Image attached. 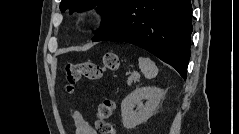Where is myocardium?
Returning a JSON list of instances; mask_svg holds the SVG:
<instances>
[{
    "label": "myocardium",
    "instance_id": "myocardium-1",
    "mask_svg": "<svg viewBox=\"0 0 239 134\" xmlns=\"http://www.w3.org/2000/svg\"><path fill=\"white\" fill-rule=\"evenodd\" d=\"M92 19H93V18H92V16H90V15H89V16H87V18H86L87 22H91V21H92Z\"/></svg>",
    "mask_w": 239,
    "mask_h": 134
}]
</instances>
